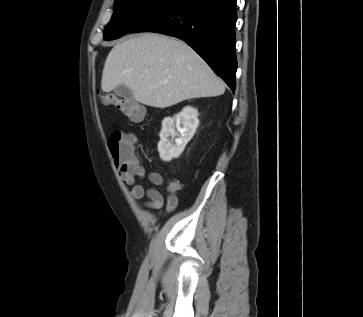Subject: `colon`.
Wrapping results in <instances>:
<instances>
[{
	"instance_id": "5ec220e1",
	"label": "colon",
	"mask_w": 363,
	"mask_h": 317,
	"mask_svg": "<svg viewBox=\"0 0 363 317\" xmlns=\"http://www.w3.org/2000/svg\"><path fill=\"white\" fill-rule=\"evenodd\" d=\"M101 98L104 103L115 106L133 122H141L144 118L143 107L133 99L124 98L111 92L102 93ZM134 144V137L122 131H115L109 136L107 147L117 166L126 169L136 167L139 164L135 155Z\"/></svg>"
}]
</instances>
